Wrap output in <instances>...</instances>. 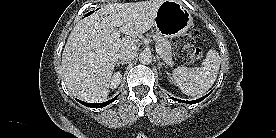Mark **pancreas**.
<instances>
[{
	"label": "pancreas",
	"instance_id": "pancreas-1",
	"mask_svg": "<svg viewBox=\"0 0 276 138\" xmlns=\"http://www.w3.org/2000/svg\"><path fill=\"white\" fill-rule=\"evenodd\" d=\"M153 37H154V40L156 41V47L160 48L162 51L161 57L163 58V60L167 64L173 65L171 44L168 41V39L158 33L155 34Z\"/></svg>",
	"mask_w": 276,
	"mask_h": 138
}]
</instances>
